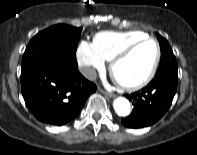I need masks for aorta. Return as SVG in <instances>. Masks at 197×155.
<instances>
[{
	"instance_id": "762f6f07",
	"label": "aorta",
	"mask_w": 197,
	"mask_h": 155,
	"mask_svg": "<svg viewBox=\"0 0 197 155\" xmlns=\"http://www.w3.org/2000/svg\"><path fill=\"white\" fill-rule=\"evenodd\" d=\"M113 107L118 116H127L130 113V103L126 98H116L113 102Z\"/></svg>"
}]
</instances>
